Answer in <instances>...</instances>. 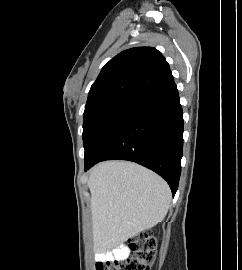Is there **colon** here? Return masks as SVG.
Wrapping results in <instances>:
<instances>
[{
    "label": "colon",
    "mask_w": 242,
    "mask_h": 270,
    "mask_svg": "<svg viewBox=\"0 0 242 270\" xmlns=\"http://www.w3.org/2000/svg\"><path fill=\"white\" fill-rule=\"evenodd\" d=\"M156 240L148 232L142 231L128 243V254L123 259H115L111 265L96 263V270H151L156 257Z\"/></svg>",
    "instance_id": "colon-1"
}]
</instances>
